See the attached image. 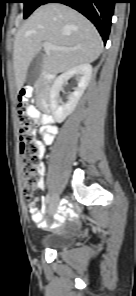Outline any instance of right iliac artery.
I'll list each match as a JSON object with an SVG mask.
<instances>
[{"label": "right iliac artery", "instance_id": "1", "mask_svg": "<svg viewBox=\"0 0 136 296\" xmlns=\"http://www.w3.org/2000/svg\"><path fill=\"white\" fill-rule=\"evenodd\" d=\"M46 200H47V203H48V204H49V203H52V202H53V197L47 195V196H46Z\"/></svg>", "mask_w": 136, "mask_h": 296}]
</instances>
